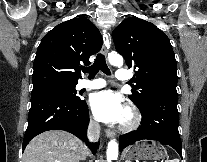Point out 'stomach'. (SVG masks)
<instances>
[{
  "instance_id": "stomach-1",
  "label": "stomach",
  "mask_w": 207,
  "mask_h": 162,
  "mask_svg": "<svg viewBox=\"0 0 207 162\" xmlns=\"http://www.w3.org/2000/svg\"><path fill=\"white\" fill-rule=\"evenodd\" d=\"M126 162L133 160H164L168 157L165 148L153 141L137 142L126 149L123 154Z\"/></svg>"
}]
</instances>
